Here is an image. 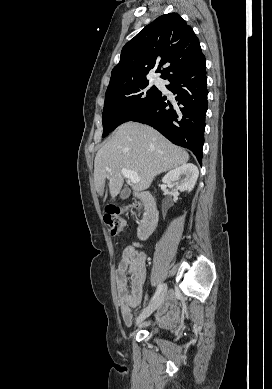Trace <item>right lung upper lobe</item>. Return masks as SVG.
I'll list each match as a JSON object with an SVG mask.
<instances>
[{
	"mask_svg": "<svg viewBox=\"0 0 272 389\" xmlns=\"http://www.w3.org/2000/svg\"><path fill=\"white\" fill-rule=\"evenodd\" d=\"M203 56L199 40L186 21L178 13L162 15L123 47L106 92L146 81L154 68L167 79Z\"/></svg>",
	"mask_w": 272,
	"mask_h": 389,
	"instance_id": "1",
	"label": "right lung upper lobe"
}]
</instances>
